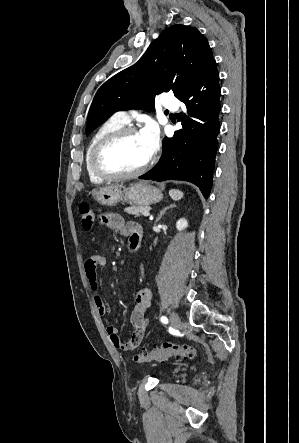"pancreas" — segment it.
<instances>
[{
	"label": "pancreas",
	"mask_w": 299,
	"mask_h": 443,
	"mask_svg": "<svg viewBox=\"0 0 299 443\" xmlns=\"http://www.w3.org/2000/svg\"><path fill=\"white\" fill-rule=\"evenodd\" d=\"M150 208L148 206H129L125 208V212H127L129 215H135V217L140 216L144 211H149Z\"/></svg>",
	"instance_id": "1"
}]
</instances>
